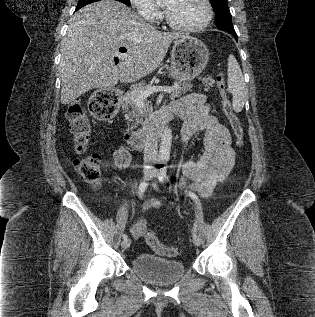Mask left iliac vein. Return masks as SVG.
<instances>
[{
	"label": "left iliac vein",
	"mask_w": 315,
	"mask_h": 317,
	"mask_svg": "<svg viewBox=\"0 0 315 317\" xmlns=\"http://www.w3.org/2000/svg\"><path fill=\"white\" fill-rule=\"evenodd\" d=\"M156 173L153 174L154 177H156ZM192 241L195 246H199L201 244V239L197 233H193L192 235Z\"/></svg>",
	"instance_id": "left-iliac-vein-1"
}]
</instances>
